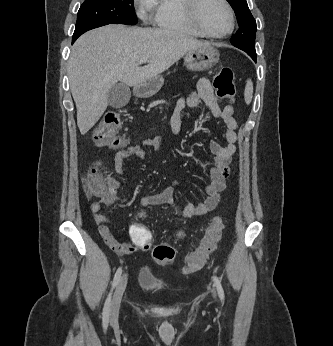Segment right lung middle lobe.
Returning <instances> with one entry per match:
<instances>
[{
	"mask_svg": "<svg viewBox=\"0 0 333 346\" xmlns=\"http://www.w3.org/2000/svg\"><path fill=\"white\" fill-rule=\"evenodd\" d=\"M136 23L133 0H85L78 11L73 38L107 24Z\"/></svg>",
	"mask_w": 333,
	"mask_h": 346,
	"instance_id": "right-lung-middle-lobe-1",
	"label": "right lung middle lobe"
}]
</instances>
